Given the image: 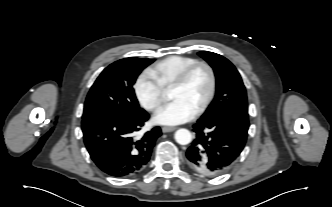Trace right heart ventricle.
<instances>
[{
  "instance_id": "obj_1",
  "label": "right heart ventricle",
  "mask_w": 332,
  "mask_h": 207,
  "mask_svg": "<svg viewBox=\"0 0 332 207\" xmlns=\"http://www.w3.org/2000/svg\"><path fill=\"white\" fill-rule=\"evenodd\" d=\"M197 59L183 55L168 56L154 66L148 73L160 84L163 89H168L178 77V75Z\"/></svg>"
}]
</instances>
